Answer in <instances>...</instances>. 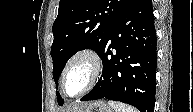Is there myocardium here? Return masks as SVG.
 Here are the masks:
<instances>
[{
    "label": "myocardium",
    "instance_id": "myocardium-1",
    "mask_svg": "<svg viewBox=\"0 0 193 112\" xmlns=\"http://www.w3.org/2000/svg\"><path fill=\"white\" fill-rule=\"evenodd\" d=\"M79 60H84L90 65L91 69L90 78L87 85L79 93L70 95L66 89L67 74L71 66ZM102 71H103V61L101 56L95 49L91 47H84L78 49L67 59L65 66L63 68L61 76V85L63 92L65 93V95L69 97L83 96L84 94L88 93L90 90L94 88V86L97 84V82L101 77Z\"/></svg>",
    "mask_w": 193,
    "mask_h": 112
}]
</instances>
